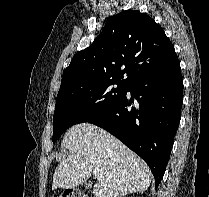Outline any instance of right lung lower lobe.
<instances>
[{"mask_svg":"<svg viewBox=\"0 0 209 197\" xmlns=\"http://www.w3.org/2000/svg\"><path fill=\"white\" fill-rule=\"evenodd\" d=\"M126 95L87 122L121 140L149 166L158 187L181 118L183 79L175 54L161 67L129 85ZM135 102L136 106H132Z\"/></svg>","mask_w":209,"mask_h":197,"instance_id":"1","label":"right lung lower lobe"}]
</instances>
